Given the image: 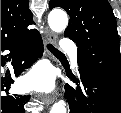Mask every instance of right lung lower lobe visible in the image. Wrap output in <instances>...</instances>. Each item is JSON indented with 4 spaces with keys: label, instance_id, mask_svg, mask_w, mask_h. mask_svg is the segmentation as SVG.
<instances>
[{
    "label": "right lung lower lobe",
    "instance_id": "1",
    "mask_svg": "<svg viewBox=\"0 0 121 113\" xmlns=\"http://www.w3.org/2000/svg\"><path fill=\"white\" fill-rule=\"evenodd\" d=\"M5 50L11 51L9 56L13 58V68L15 76L18 77L25 69L29 68L37 58L43 53V44L40 34L36 31L14 43L1 47V53ZM10 60L1 54V66L5 61ZM14 80L8 75L1 79V92H7L1 95V113H23L24 104L29 100V96L17 94H9L10 84Z\"/></svg>",
    "mask_w": 121,
    "mask_h": 113
}]
</instances>
